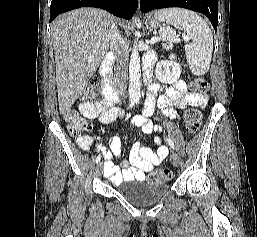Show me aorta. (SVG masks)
<instances>
[{"label":"aorta","mask_w":257,"mask_h":237,"mask_svg":"<svg viewBox=\"0 0 257 237\" xmlns=\"http://www.w3.org/2000/svg\"><path fill=\"white\" fill-rule=\"evenodd\" d=\"M136 36H139V32H135ZM141 78V66H140V56L137 46L135 45L129 63V96L131 100H139L141 96L140 87Z\"/></svg>","instance_id":"762f6f07"}]
</instances>
